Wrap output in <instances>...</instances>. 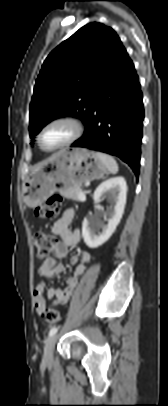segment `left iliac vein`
Segmentation results:
<instances>
[{
  "instance_id": "obj_1",
  "label": "left iliac vein",
  "mask_w": 168,
  "mask_h": 406,
  "mask_svg": "<svg viewBox=\"0 0 168 406\" xmlns=\"http://www.w3.org/2000/svg\"><path fill=\"white\" fill-rule=\"evenodd\" d=\"M57 338H58V336L55 334V335L51 336L45 344L44 353H43V361L46 364H51L53 361V350H54Z\"/></svg>"
}]
</instances>
